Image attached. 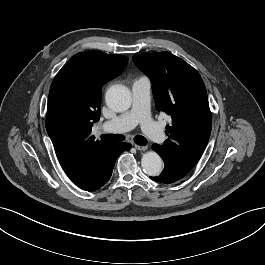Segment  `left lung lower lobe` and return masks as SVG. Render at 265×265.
I'll return each mask as SVG.
<instances>
[{"label": "left lung lower lobe", "instance_id": "1", "mask_svg": "<svg viewBox=\"0 0 265 265\" xmlns=\"http://www.w3.org/2000/svg\"><path fill=\"white\" fill-rule=\"evenodd\" d=\"M152 148L160 156H162V152H161L160 145L154 144ZM183 177H184V175L178 173L171 166L165 165L164 170L162 171V173L159 176L150 177V178L152 180L157 181V182H160V183L170 184V183H174V182L180 180Z\"/></svg>", "mask_w": 265, "mask_h": 265}]
</instances>
